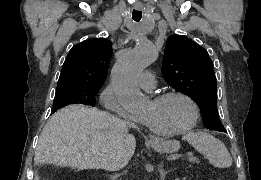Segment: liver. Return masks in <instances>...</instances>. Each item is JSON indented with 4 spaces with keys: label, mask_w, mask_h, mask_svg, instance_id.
I'll return each mask as SVG.
<instances>
[{
    "label": "liver",
    "mask_w": 261,
    "mask_h": 180,
    "mask_svg": "<svg viewBox=\"0 0 261 180\" xmlns=\"http://www.w3.org/2000/svg\"><path fill=\"white\" fill-rule=\"evenodd\" d=\"M135 150L136 140L119 118L97 108L66 106L43 128L34 164L111 172L117 170V160L132 158Z\"/></svg>",
    "instance_id": "obj_1"
}]
</instances>
